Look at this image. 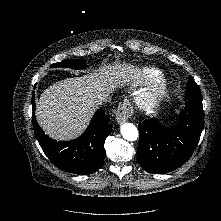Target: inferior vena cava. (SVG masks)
<instances>
[{"mask_svg": "<svg viewBox=\"0 0 221 221\" xmlns=\"http://www.w3.org/2000/svg\"><path fill=\"white\" fill-rule=\"evenodd\" d=\"M109 99L110 98L108 97V95H106V94H99L97 96V103L102 105V104L107 103L109 101Z\"/></svg>", "mask_w": 221, "mask_h": 221, "instance_id": "1", "label": "inferior vena cava"}]
</instances>
